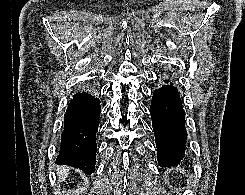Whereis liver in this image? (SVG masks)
Returning a JSON list of instances; mask_svg holds the SVG:
<instances>
[{
	"mask_svg": "<svg viewBox=\"0 0 245 195\" xmlns=\"http://www.w3.org/2000/svg\"><path fill=\"white\" fill-rule=\"evenodd\" d=\"M57 171L59 173V180L63 181L68 176L69 168L67 166H60V167L57 168Z\"/></svg>",
	"mask_w": 245,
	"mask_h": 195,
	"instance_id": "liver-1",
	"label": "liver"
}]
</instances>
